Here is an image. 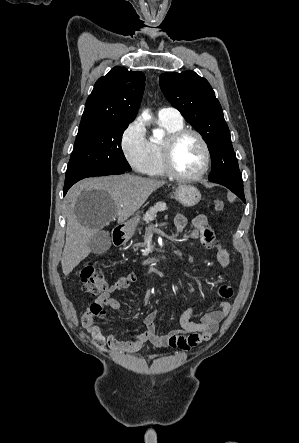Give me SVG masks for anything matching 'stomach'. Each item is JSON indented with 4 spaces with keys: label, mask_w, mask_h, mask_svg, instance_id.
<instances>
[{
    "label": "stomach",
    "mask_w": 299,
    "mask_h": 443,
    "mask_svg": "<svg viewBox=\"0 0 299 443\" xmlns=\"http://www.w3.org/2000/svg\"><path fill=\"white\" fill-rule=\"evenodd\" d=\"M174 198L183 206L192 207L201 200V193L195 186L180 185L174 192ZM139 219L137 215L125 224V240H129L132 237Z\"/></svg>",
    "instance_id": "0dacf381"
}]
</instances>
